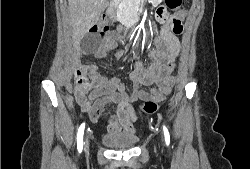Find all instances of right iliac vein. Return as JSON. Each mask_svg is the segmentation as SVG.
Listing matches in <instances>:
<instances>
[{
	"label": "right iliac vein",
	"mask_w": 250,
	"mask_h": 169,
	"mask_svg": "<svg viewBox=\"0 0 250 169\" xmlns=\"http://www.w3.org/2000/svg\"><path fill=\"white\" fill-rule=\"evenodd\" d=\"M84 144H85V151H87L89 147L88 138L85 140Z\"/></svg>",
	"instance_id": "obj_1"
}]
</instances>
